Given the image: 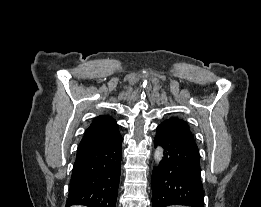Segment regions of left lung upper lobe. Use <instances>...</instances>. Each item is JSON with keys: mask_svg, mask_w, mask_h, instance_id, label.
Instances as JSON below:
<instances>
[{"mask_svg": "<svg viewBox=\"0 0 261 207\" xmlns=\"http://www.w3.org/2000/svg\"><path fill=\"white\" fill-rule=\"evenodd\" d=\"M167 120H169V121L173 122L174 124H176L179 127V129L183 132L184 137L191 144L193 149L195 151L199 152L198 147H197V145L195 143L194 136H193V134H192V132H191L187 122L182 120V119H180V118H178V117H170Z\"/></svg>", "mask_w": 261, "mask_h": 207, "instance_id": "5c2ea615", "label": "left lung upper lobe"}]
</instances>
